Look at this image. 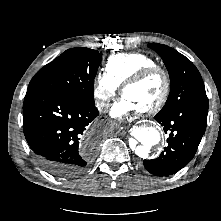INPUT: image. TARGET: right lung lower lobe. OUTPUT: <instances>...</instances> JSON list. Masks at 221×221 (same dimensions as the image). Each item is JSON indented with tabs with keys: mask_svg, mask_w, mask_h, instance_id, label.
I'll return each instance as SVG.
<instances>
[{
	"mask_svg": "<svg viewBox=\"0 0 221 221\" xmlns=\"http://www.w3.org/2000/svg\"><path fill=\"white\" fill-rule=\"evenodd\" d=\"M98 115L95 105L44 88L29 89L23 129L38 164L60 179L82 174L92 160L96 138L83 145L81 137Z\"/></svg>",
	"mask_w": 221,
	"mask_h": 221,
	"instance_id": "obj_1",
	"label": "right lung lower lobe"
}]
</instances>
